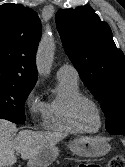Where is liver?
<instances>
[{
  "label": "liver",
  "mask_w": 125,
  "mask_h": 167,
  "mask_svg": "<svg viewBox=\"0 0 125 167\" xmlns=\"http://www.w3.org/2000/svg\"><path fill=\"white\" fill-rule=\"evenodd\" d=\"M16 132L14 123L0 119V167H8L17 162L15 151L21 154L23 160H30L43 149L55 146L66 136L61 132L30 130H22L15 136Z\"/></svg>",
  "instance_id": "6515ba94"
}]
</instances>
